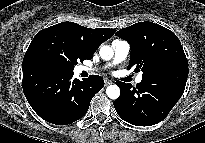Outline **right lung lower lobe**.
<instances>
[{"label":"right lung lower lobe","instance_id":"1","mask_svg":"<svg viewBox=\"0 0 205 143\" xmlns=\"http://www.w3.org/2000/svg\"><path fill=\"white\" fill-rule=\"evenodd\" d=\"M23 92L32 109L45 121L56 125L71 124L83 117L91 99L104 86L101 76L91 75L80 81L73 71L54 63L23 60Z\"/></svg>","mask_w":205,"mask_h":143}]
</instances>
